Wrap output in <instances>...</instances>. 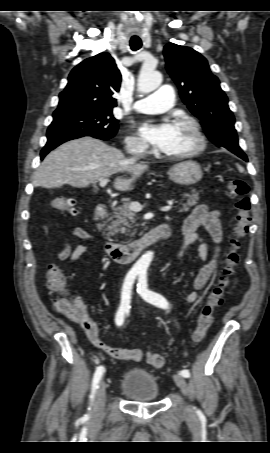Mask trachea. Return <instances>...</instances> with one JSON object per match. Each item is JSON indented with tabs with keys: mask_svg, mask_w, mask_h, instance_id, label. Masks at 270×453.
Wrapping results in <instances>:
<instances>
[{
	"mask_svg": "<svg viewBox=\"0 0 270 453\" xmlns=\"http://www.w3.org/2000/svg\"><path fill=\"white\" fill-rule=\"evenodd\" d=\"M142 46V41L141 40H131L130 41V47L133 51H137L141 48Z\"/></svg>",
	"mask_w": 270,
	"mask_h": 453,
	"instance_id": "1",
	"label": "trachea"
}]
</instances>
